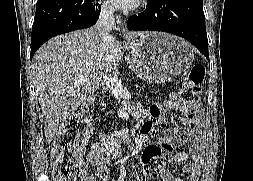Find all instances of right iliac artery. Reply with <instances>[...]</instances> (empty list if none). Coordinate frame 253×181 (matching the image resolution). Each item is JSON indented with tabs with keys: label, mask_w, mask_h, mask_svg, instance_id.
<instances>
[{
	"label": "right iliac artery",
	"mask_w": 253,
	"mask_h": 181,
	"mask_svg": "<svg viewBox=\"0 0 253 181\" xmlns=\"http://www.w3.org/2000/svg\"><path fill=\"white\" fill-rule=\"evenodd\" d=\"M124 161H125V159H124V160H121L120 162L123 163Z\"/></svg>",
	"instance_id": "1"
}]
</instances>
